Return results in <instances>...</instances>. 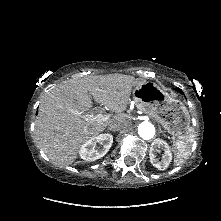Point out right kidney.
<instances>
[{
  "instance_id": "ca27d5eb",
  "label": "right kidney",
  "mask_w": 221,
  "mask_h": 221,
  "mask_svg": "<svg viewBox=\"0 0 221 221\" xmlns=\"http://www.w3.org/2000/svg\"><path fill=\"white\" fill-rule=\"evenodd\" d=\"M113 143V136L101 134L86 141L79 150L80 157L85 161H95L103 157Z\"/></svg>"
}]
</instances>
